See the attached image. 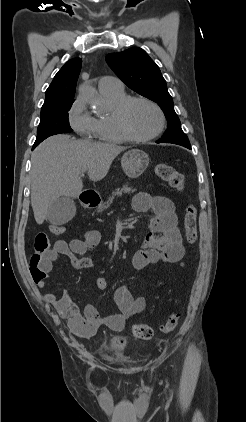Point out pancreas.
<instances>
[{
  "label": "pancreas",
  "mask_w": 246,
  "mask_h": 422,
  "mask_svg": "<svg viewBox=\"0 0 246 422\" xmlns=\"http://www.w3.org/2000/svg\"><path fill=\"white\" fill-rule=\"evenodd\" d=\"M136 190L129 187L128 185L123 186V188H118L116 189L112 195L108 198V201L103 203L101 206H99L98 211L99 212H103L105 209H107L110 204L112 203V201L116 198L122 195V193H133Z\"/></svg>",
  "instance_id": "obj_1"
}]
</instances>
